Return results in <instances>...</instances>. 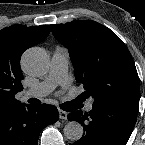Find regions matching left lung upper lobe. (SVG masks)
<instances>
[{
    "label": "left lung upper lobe",
    "instance_id": "obj_1",
    "mask_svg": "<svg viewBox=\"0 0 145 145\" xmlns=\"http://www.w3.org/2000/svg\"><path fill=\"white\" fill-rule=\"evenodd\" d=\"M55 38L69 51L77 82L93 104H139L140 85L126 45L109 28L92 20L53 24Z\"/></svg>",
    "mask_w": 145,
    "mask_h": 145
}]
</instances>
